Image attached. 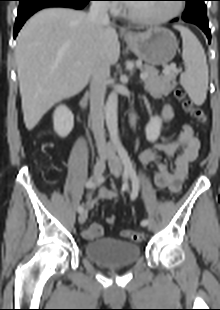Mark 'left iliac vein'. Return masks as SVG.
I'll list each match as a JSON object with an SVG mask.
<instances>
[{
  "label": "left iliac vein",
  "instance_id": "1",
  "mask_svg": "<svg viewBox=\"0 0 220 310\" xmlns=\"http://www.w3.org/2000/svg\"><path fill=\"white\" fill-rule=\"evenodd\" d=\"M109 168H110L111 173L115 177H119L122 174V163L120 161V158L117 155H113L110 158ZM145 226H147L148 230L153 229V225H152L151 221H149V220Z\"/></svg>",
  "mask_w": 220,
  "mask_h": 310
}]
</instances>
